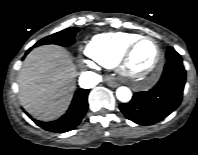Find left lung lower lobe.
I'll list each match as a JSON object with an SVG mask.
<instances>
[{"instance_id":"1","label":"left lung lower lobe","mask_w":198,"mask_h":155,"mask_svg":"<svg viewBox=\"0 0 198 155\" xmlns=\"http://www.w3.org/2000/svg\"><path fill=\"white\" fill-rule=\"evenodd\" d=\"M185 80L182 61H169L154 89L135 93L131 101L119 105V109L137 124H156L180 105Z\"/></svg>"}]
</instances>
